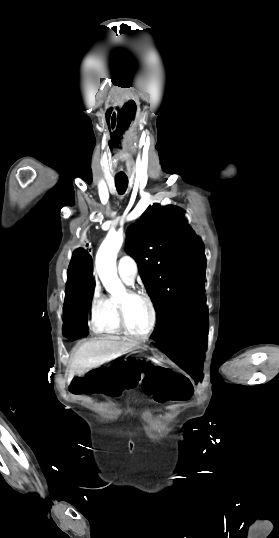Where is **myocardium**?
Here are the masks:
<instances>
[{"mask_svg":"<svg viewBox=\"0 0 279 538\" xmlns=\"http://www.w3.org/2000/svg\"><path fill=\"white\" fill-rule=\"evenodd\" d=\"M107 226H108V224L105 223V224L102 225V228H105ZM135 298L143 299L147 303L149 308H150L151 321H150V325H149L148 329L144 333H135V332H133L129 328L128 324H127L126 306H127V303H128L129 300L135 299ZM117 315H118L119 324H120L122 330L124 331V333H126L128 336H130V337H132L134 339H137V340H145V339L149 338L152 335V333L154 332V330L156 328V325H157L156 306H155L151 296L148 293H146L145 291H142V290L126 289L123 292V295L118 297Z\"/></svg>","mask_w":279,"mask_h":538,"instance_id":"myocardium-1","label":"myocardium"}]
</instances>
